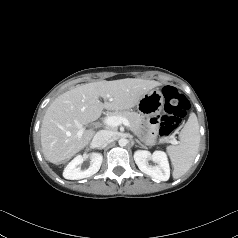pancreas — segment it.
I'll return each instance as SVG.
<instances>
[{
	"label": "pancreas",
	"mask_w": 238,
	"mask_h": 238,
	"mask_svg": "<svg viewBox=\"0 0 238 238\" xmlns=\"http://www.w3.org/2000/svg\"><path fill=\"white\" fill-rule=\"evenodd\" d=\"M111 116H120L126 118L130 122L131 130L138 134L140 131L142 116L136 112L130 111H115L110 114Z\"/></svg>",
	"instance_id": "pancreas-1"
}]
</instances>
